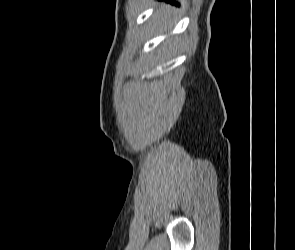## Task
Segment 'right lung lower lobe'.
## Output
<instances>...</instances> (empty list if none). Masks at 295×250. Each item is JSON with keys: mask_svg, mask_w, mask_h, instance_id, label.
<instances>
[{"mask_svg": "<svg viewBox=\"0 0 295 250\" xmlns=\"http://www.w3.org/2000/svg\"><path fill=\"white\" fill-rule=\"evenodd\" d=\"M165 1H169V2H172V3H174V1H173V0H165Z\"/></svg>", "mask_w": 295, "mask_h": 250, "instance_id": "98d812e1", "label": "right lung lower lobe"}]
</instances>
